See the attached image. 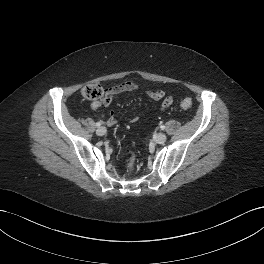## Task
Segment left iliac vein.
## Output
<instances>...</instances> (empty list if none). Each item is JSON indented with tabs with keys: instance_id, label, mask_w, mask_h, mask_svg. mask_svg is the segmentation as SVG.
<instances>
[{
	"instance_id": "obj_1",
	"label": "left iliac vein",
	"mask_w": 264,
	"mask_h": 264,
	"mask_svg": "<svg viewBox=\"0 0 264 264\" xmlns=\"http://www.w3.org/2000/svg\"><path fill=\"white\" fill-rule=\"evenodd\" d=\"M156 141L159 143V144H162L166 141L167 139V136L164 134V133H158L155 137Z\"/></svg>"
}]
</instances>
